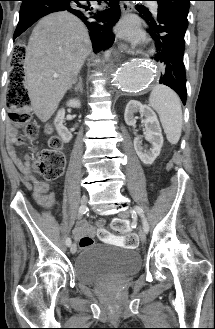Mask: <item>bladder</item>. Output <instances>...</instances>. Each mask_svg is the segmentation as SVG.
Returning <instances> with one entry per match:
<instances>
[{"label":"bladder","instance_id":"bladder-1","mask_svg":"<svg viewBox=\"0 0 215 329\" xmlns=\"http://www.w3.org/2000/svg\"><path fill=\"white\" fill-rule=\"evenodd\" d=\"M140 265L139 254L129 248L95 244L83 247L76 257L74 274L80 283L94 285L107 277L135 274Z\"/></svg>","mask_w":215,"mask_h":329}]
</instances>
